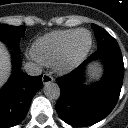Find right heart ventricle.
<instances>
[{
  "label": "right heart ventricle",
  "mask_w": 128,
  "mask_h": 128,
  "mask_svg": "<svg viewBox=\"0 0 128 128\" xmlns=\"http://www.w3.org/2000/svg\"><path fill=\"white\" fill-rule=\"evenodd\" d=\"M77 30H58L39 37L32 46L33 57L44 65H55Z\"/></svg>",
  "instance_id": "obj_1"
}]
</instances>
